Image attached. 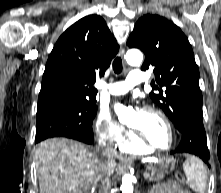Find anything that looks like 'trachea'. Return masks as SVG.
<instances>
[{"label":"trachea","instance_id":"obj_1","mask_svg":"<svg viewBox=\"0 0 221 193\" xmlns=\"http://www.w3.org/2000/svg\"><path fill=\"white\" fill-rule=\"evenodd\" d=\"M123 66H122V60L120 57H116L113 61V70L116 74H119L122 72Z\"/></svg>","mask_w":221,"mask_h":193}]
</instances>
